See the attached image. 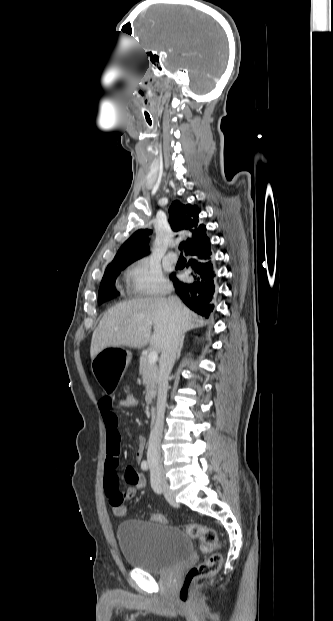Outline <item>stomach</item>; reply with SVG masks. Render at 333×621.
<instances>
[{
  "instance_id": "0dacf381",
  "label": "stomach",
  "mask_w": 333,
  "mask_h": 621,
  "mask_svg": "<svg viewBox=\"0 0 333 621\" xmlns=\"http://www.w3.org/2000/svg\"><path fill=\"white\" fill-rule=\"evenodd\" d=\"M132 354L118 346L116 343L106 342L102 350L95 353L92 365L94 373L98 377L101 392L107 396L116 394L120 388L118 379L124 373L126 365L130 362Z\"/></svg>"
}]
</instances>
